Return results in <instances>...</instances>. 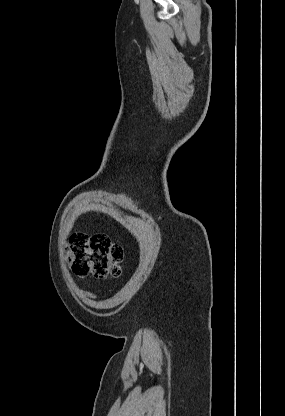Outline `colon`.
I'll list each match as a JSON object with an SVG mask.
<instances>
[{
    "label": "colon",
    "mask_w": 285,
    "mask_h": 416,
    "mask_svg": "<svg viewBox=\"0 0 285 416\" xmlns=\"http://www.w3.org/2000/svg\"><path fill=\"white\" fill-rule=\"evenodd\" d=\"M68 259L77 276L92 275L97 278L117 277L121 273L123 248L112 243L104 234H74L68 244Z\"/></svg>",
    "instance_id": "colon-1"
}]
</instances>
